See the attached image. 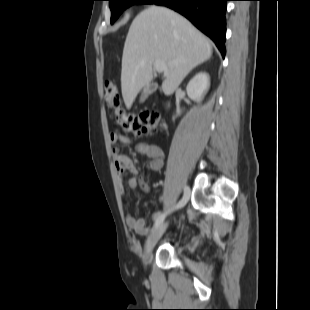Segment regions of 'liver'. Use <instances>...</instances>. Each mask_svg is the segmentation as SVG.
<instances>
[{"mask_svg": "<svg viewBox=\"0 0 310 310\" xmlns=\"http://www.w3.org/2000/svg\"><path fill=\"white\" fill-rule=\"evenodd\" d=\"M211 55L210 42L187 19L164 7L146 8L133 20L123 49L121 89L126 108L152 81L156 61L167 65L161 91L171 95Z\"/></svg>", "mask_w": 310, "mask_h": 310, "instance_id": "obj_1", "label": "liver"}]
</instances>
